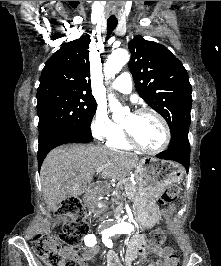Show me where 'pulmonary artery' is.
Here are the masks:
<instances>
[{"instance_id": "pulmonary-artery-1", "label": "pulmonary artery", "mask_w": 221, "mask_h": 266, "mask_svg": "<svg viewBox=\"0 0 221 266\" xmlns=\"http://www.w3.org/2000/svg\"><path fill=\"white\" fill-rule=\"evenodd\" d=\"M111 88L123 94H129L132 91L131 75L127 72L121 73L112 83Z\"/></svg>"}]
</instances>
